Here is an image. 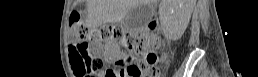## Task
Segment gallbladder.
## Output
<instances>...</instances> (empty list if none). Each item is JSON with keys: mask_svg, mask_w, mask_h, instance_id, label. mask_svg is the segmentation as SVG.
<instances>
[{"mask_svg": "<svg viewBox=\"0 0 258 77\" xmlns=\"http://www.w3.org/2000/svg\"><path fill=\"white\" fill-rule=\"evenodd\" d=\"M152 14L151 6L139 5L128 12L124 18V25L130 32H134L142 28L151 19Z\"/></svg>", "mask_w": 258, "mask_h": 77, "instance_id": "gallbladder-1", "label": "gallbladder"}]
</instances>
